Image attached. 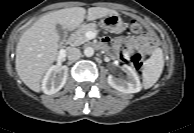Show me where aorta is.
Returning a JSON list of instances; mask_svg holds the SVG:
<instances>
[{
	"mask_svg": "<svg viewBox=\"0 0 194 133\" xmlns=\"http://www.w3.org/2000/svg\"><path fill=\"white\" fill-rule=\"evenodd\" d=\"M93 54H94V49L92 47H86L84 49V55L86 57H91V56H93Z\"/></svg>",
	"mask_w": 194,
	"mask_h": 133,
	"instance_id": "aorta-1",
	"label": "aorta"
}]
</instances>
